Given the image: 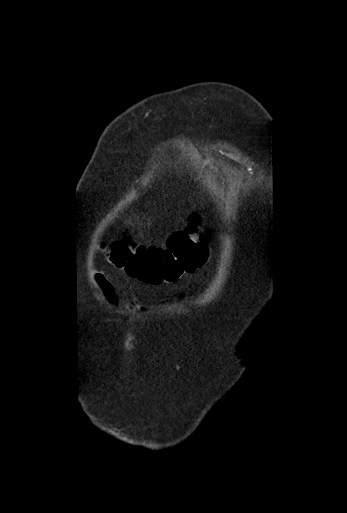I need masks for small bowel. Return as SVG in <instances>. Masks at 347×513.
<instances>
[{
    "label": "small bowel",
    "mask_w": 347,
    "mask_h": 513,
    "mask_svg": "<svg viewBox=\"0 0 347 513\" xmlns=\"http://www.w3.org/2000/svg\"><path fill=\"white\" fill-rule=\"evenodd\" d=\"M95 280L99 284V286L102 288L106 298L113 304H116L118 302V297L116 293L114 292L111 284L109 281L105 278L102 274H96ZM138 306L137 301H132V303L129 304V308H136Z\"/></svg>",
    "instance_id": "small-bowel-1"
}]
</instances>
